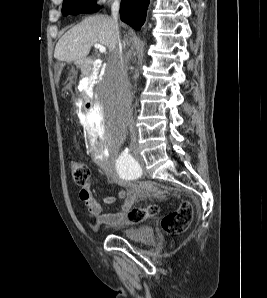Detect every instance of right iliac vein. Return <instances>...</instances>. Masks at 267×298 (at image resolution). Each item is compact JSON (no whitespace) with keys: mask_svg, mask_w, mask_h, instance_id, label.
<instances>
[{"mask_svg":"<svg viewBox=\"0 0 267 298\" xmlns=\"http://www.w3.org/2000/svg\"><path fill=\"white\" fill-rule=\"evenodd\" d=\"M132 150L135 152V151H137V146L136 145H132Z\"/></svg>","mask_w":267,"mask_h":298,"instance_id":"63e3f726","label":"right iliac vein"}]
</instances>
